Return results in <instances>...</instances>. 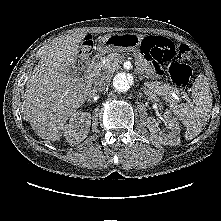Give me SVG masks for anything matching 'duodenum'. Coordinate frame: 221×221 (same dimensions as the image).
Returning a JSON list of instances; mask_svg holds the SVG:
<instances>
[{
    "label": "duodenum",
    "mask_w": 221,
    "mask_h": 221,
    "mask_svg": "<svg viewBox=\"0 0 221 221\" xmlns=\"http://www.w3.org/2000/svg\"><path fill=\"white\" fill-rule=\"evenodd\" d=\"M99 55L86 63V73L88 76H94L97 72V62Z\"/></svg>",
    "instance_id": "duodenum-1"
}]
</instances>
